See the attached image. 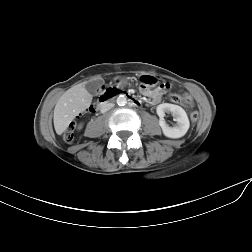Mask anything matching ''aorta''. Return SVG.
<instances>
[{
    "label": "aorta",
    "instance_id": "1",
    "mask_svg": "<svg viewBox=\"0 0 252 252\" xmlns=\"http://www.w3.org/2000/svg\"><path fill=\"white\" fill-rule=\"evenodd\" d=\"M117 104L119 106H124L127 104V99L124 95H120L118 98H117Z\"/></svg>",
    "mask_w": 252,
    "mask_h": 252
}]
</instances>
